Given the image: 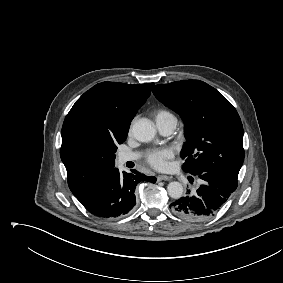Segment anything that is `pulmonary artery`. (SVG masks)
Listing matches in <instances>:
<instances>
[{
  "label": "pulmonary artery",
  "instance_id": "e3ab8cb5",
  "mask_svg": "<svg viewBox=\"0 0 283 283\" xmlns=\"http://www.w3.org/2000/svg\"><path fill=\"white\" fill-rule=\"evenodd\" d=\"M177 121L175 118H161L156 120V126L162 135L172 134L176 128ZM140 157L138 152L121 153L118 156V164L124 165L126 162L137 160Z\"/></svg>",
  "mask_w": 283,
  "mask_h": 283
}]
</instances>
